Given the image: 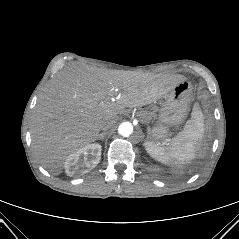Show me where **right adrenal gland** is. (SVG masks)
Segmentation results:
<instances>
[{
    "label": "right adrenal gland",
    "instance_id": "obj_1",
    "mask_svg": "<svg viewBox=\"0 0 239 239\" xmlns=\"http://www.w3.org/2000/svg\"><path fill=\"white\" fill-rule=\"evenodd\" d=\"M105 135H106L105 133H101V134H99V136L97 137V139H98V140H100V139L103 140L104 137H105Z\"/></svg>",
    "mask_w": 239,
    "mask_h": 239
}]
</instances>
